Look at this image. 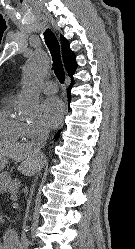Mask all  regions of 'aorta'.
<instances>
[{
	"label": "aorta",
	"instance_id": "762f6f07",
	"mask_svg": "<svg viewBox=\"0 0 135 249\" xmlns=\"http://www.w3.org/2000/svg\"><path fill=\"white\" fill-rule=\"evenodd\" d=\"M49 68V58L41 51L35 52L25 64L24 84L18 96V102L20 109L30 116H35L39 111V85L46 78Z\"/></svg>",
	"mask_w": 135,
	"mask_h": 249
}]
</instances>
